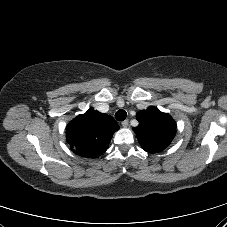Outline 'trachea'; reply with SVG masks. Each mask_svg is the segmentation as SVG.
<instances>
[{"instance_id":"obj_1","label":"trachea","mask_w":227,"mask_h":227,"mask_svg":"<svg viewBox=\"0 0 227 227\" xmlns=\"http://www.w3.org/2000/svg\"><path fill=\"white\" fill-rule=\"evenodd\" d=\"M127 117V113L125 110H118L116 113H115V118L118 120V121H123L125 120Z\"/></svg>"}]
</instances>
